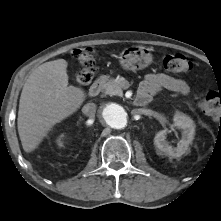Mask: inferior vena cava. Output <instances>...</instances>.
<instances>
[{
  "instance_id": "602c4592",
  "label": "inferior vena cava",
  "mask_w": 221,
  "mask_h": 221,
  "mask_svg": "<svg viewBox=\"0 0 221 221\" xmlns=\"http://www.w3.org/2000/svg\"><path fill=\"white\" fill-rule=\"evenodd\" d=\"M82 112L88 117H94L96 113V105L94 103H87L82 108Z\"/></svg>"
}]
</instances>
